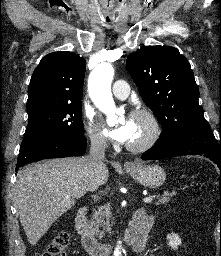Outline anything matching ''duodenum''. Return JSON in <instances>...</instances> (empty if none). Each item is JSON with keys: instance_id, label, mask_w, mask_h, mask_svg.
<instances>
[{"instance_id": "410a0bca", "label": "duodenum", "mask_w": 221, "mask_h": 256, "mask_svg": "<svg viewBox=\"0 0 221 256\" xmlns=\"http://www.w3.org/2000/svg\"><path fill=\"white\" fill-rule=\"evenodd\" d=\"M148 216L142 210L137 211L126 230L125 238L129 244H135L146 234V222ZM75 225L84 249L91 256H110L113 245L100 242L92 233L87 221V208L82 206L78 209Z\"/></svg>"}]
</instances>
